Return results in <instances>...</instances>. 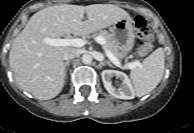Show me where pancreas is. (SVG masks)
Instances as JSON below:
<instances>
[{"mask_svg": "<svg viewBox=\"0 0 194 133\" xmlns=\"http://www.w3.org/2000/svg\"><path fill=\"white\" fill-rule=\"evenodd\" d=\"M99 36L103 37L106 40L105 47L116 57L121 58L123 54L119 53V50L113 40V37L111 34H109L105 30H101L97 33Z\"/></svg>", "mask_w": 194, "mask_h": 133, "instance_id": "obj_1", "label": "pancreas"}]
</instances>
